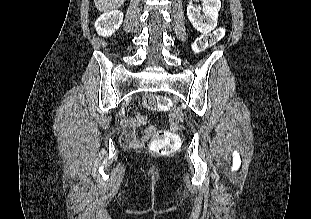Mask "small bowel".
<instances>
[{
    "label": "small bowel",
    "mask_w": 311,
    "mask_h": 219,
    "mask_svg": "<svg viewBox=\"0 0 311 219\" xmlns=\"http://www.w3.org/2000/svg\"><path fill=\"white\" fill-rule=\"evenodd\" d=\"M146 122V119L145 117H143L142 115H137L135 118L131 119L129 121V136H126V142H130L133 140V135L131 134L132 133V130L138 126H140L141 124H144ZM172 128L173 129H176V126L175 125H172Z\"/></svg>",
    "instance_id": "c3829d8e"
}]
</instances>
